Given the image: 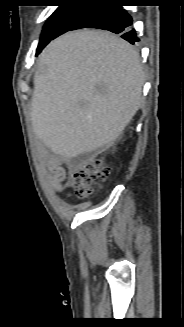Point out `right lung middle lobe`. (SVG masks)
I'll list each match as a JSON object with an SVG mask.
<instances>
[{
	"label": "right lung middle lobe",
	"mask_w": 184,
	"mask_h": 327,
	"mask_svg": "<svg viewBox=\"0 0 184 327\" xmlns=\"http://www.w3.org/2000/svg\"><path fill=\"white\" fill-rule=\"evenodd\" d=\"M88 8L89 6L79 5L59 6L44 25L36 54H39L52 39L70 31L83 17Z\"/></svg>",
	"instance_id": "1"
}]
</instances>
